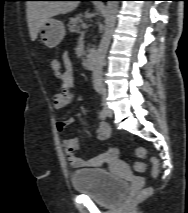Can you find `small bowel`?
Wrapping results in <instances>:
<instances>
[{
  "mask_svg": "<svg viewBox=\"0 0 188 213\" xmlns=\"http://www.w3.org/2000/svg\"><path fill=\"white\" fill-rule=\"evenodd\" d=\"M64 71L59 74L60 91L53 97V108L57 111L65 109L71 101L72 90L75 85L72 62L68 54L63 57ZM74 118L59 120L56 123L58 131H64L68 126L74 123ZM97 136L100 141L109 140L111 137V129L109 125L103 121L97 123ZM80 147L78 138L66 139L63 141V148L66 158L70 165L74 168H90L99 167L105 163H112L117 159V149L111 147L104 153L89 159H82L76 156L75 152Z\"/></svg>",
  "mask_w": 188,
  "mask_h": 213,
  "instance_id": "small-bowel-1",
  "label": "small bowel"
}]
</instances>
